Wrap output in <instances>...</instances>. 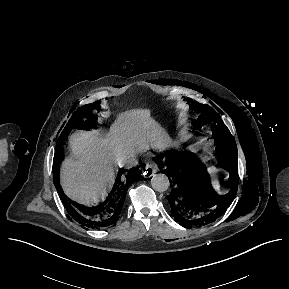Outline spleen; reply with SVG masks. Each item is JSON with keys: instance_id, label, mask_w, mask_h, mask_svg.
<instances>
[{"instance_id": "obj_1", "label": "spleen", "mask_w": 289, "mask_h": 289, "mask_svg": "<svg viewBox=\"0 0 289 289\" xmlns=\"http://www.w3.org/2000/svg\"><path fill=\"white\" fill-rule=\"evenodd\" d=\"M211 185L214 187V188H217L219 186V182L217 180H214L211 182Z\"/></svg>"}]
</instances>
